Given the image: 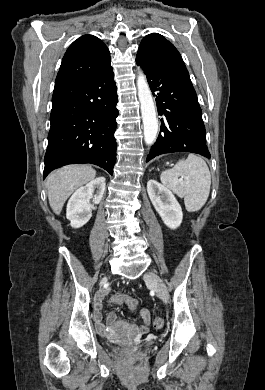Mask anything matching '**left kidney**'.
Segmentation results:
<instances>
[{
    "instance_id": "obj_1",
    "label": "left kidney",
    "mask_w": 265,
    "mask_h": 390,
    "mask_svg": "<svg viewBox=\"0 0 265 390\" xmlns=\"http://www.w3.org/2000/svg\"><path fill=\"white\" fill-rule=\"evenodd\" d=\"M147 192L164 224L170 229L178 228L182 222L183 213L173 193L154 179L148 181Z\"/></svg>"
}]
</instances>
